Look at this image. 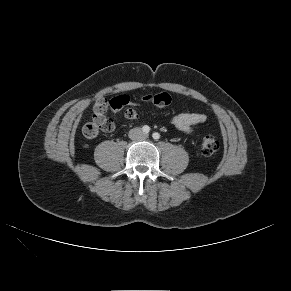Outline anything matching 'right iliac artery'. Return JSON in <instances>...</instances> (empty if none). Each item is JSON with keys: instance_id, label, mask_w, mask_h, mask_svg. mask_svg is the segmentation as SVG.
<instances>
[{"instance_id": "82829eb1", "label": "right iliac artery", "mask_w": 291, "mask_h": 291, "mask_svg": "<svg viewBox=\"0 0 291 291\" xmlns=\"http://www.w3.org/2000/svg\"><path fill=\"white\" fill-rule=\"evenodd\" d=\"M142 131L144 132V133H149L150 132V127L148 126V125H144L143 127H142Z\"/></svg>"}]
</instances>
